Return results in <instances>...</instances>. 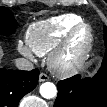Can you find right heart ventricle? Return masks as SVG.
I'll list each match as a JSON object with an SVG mask.
<instances>
[{
  "instance_id": "obj_1",
  "label": "right heart ventricle",
  "mask_w": 107,
  "mask_h": 107,
  "mask_svg": "<svg viewBox=\"0 0 107 107\" xmlns=\"http://www.w3.org/2000/svg\"><path fill=\"white\" fill-rule=\"evenodd\" d=\"M81 21V17L76 14H63L35 22L27 29V45L40 56L48 55L59 45L69 30Z\"/></svg>"
}]
</instances>
